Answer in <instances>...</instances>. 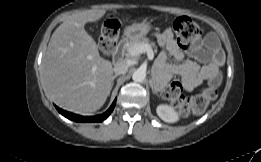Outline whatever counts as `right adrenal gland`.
<instances>
[{
    "label": "right adrenal gland",
    "mask_w": 261,
    "mask_h": 162,
    "mask_svg": "<svg viewBox=\"0 0 261 162\" xmlns=\"http://www.w3.org/2000/svg\"><path fill=\"white\" fill-rule=\"evenodd\" d=\"M119 75L118 74H115L113 77H112V84H111V88H110V91L113 87V84H114V80L118 77Z\"/></svg>",
    "instance_id": "1"
}]
</instances>
